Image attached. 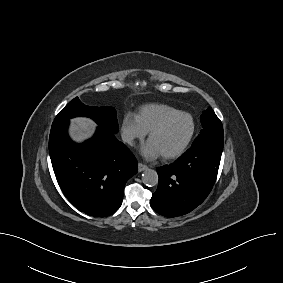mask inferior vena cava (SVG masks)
I'll list each match as a JSON object with an SVG mask.
<instances>
[{"instance_id":"1","label":"inferior vena cava","mask_w":283,"mask_h":283,"mask_svg":"<svg viewBox=\"0 0 283 283\" xmlns=\"http://www.w3.org/2000/svg\"><path fill=\"white\" fill-rule=\"evenodd\" d=\"M121 137H122V140L128 144H132L133 139H134L133 135L128 132H123Z\"/></svg>"}]
</instances>
